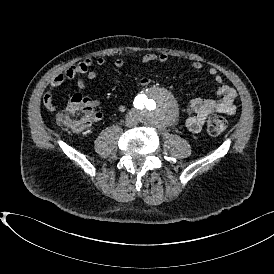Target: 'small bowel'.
Listing matches in <instances>:
<instances>
[{"mask_svg": "<svg viewBox=\"0 0 274 274\" xmlns=\"http://www.w3.org/2000/svg\"><path fill=\"white\" fill-rule=\"evenodd\" d=\"M141 60L144 64H149L152 62L163 64L168 62L169 56L166 53H147ZM93 65L104 67L106 65V59L102 56L97 57L95 60L84 59L53 77L50 81V88L48 91L50 94L46 93L42 97V102L46 108L49 110L55 108L56 103L53 100L52 93L66 81L76 79L77 86L82 90L86 89L87 84L84 81V77L89 80H94L97 77V72L92 68ZM124 65L125 61L122 58H116L113 62V66L117 69L123 68ZM192 68L195 70H201L203 68V64L199 61H194L192 63ZM208 73L212 77L214 83L219 86L216 92L218 99H195L187 103L184 108L185 125L186 128L192 133L200 132L211 114L223 113L231 115L236 111V90L233 87L224 84V79L216 68L210 67L208 69ZM151 81V78L143 77L138 80L137 86H147L151 83ZM72 101L74 103L83 104L88 111L85 122L82 126L74 129L75 132H82L90 126L102 121L103 114L101 111L97 110L101 103L99 99L82 98L77 95L72 99ZM118 109L119 111H124L125 105H120Z\"/></svg>", "mask_w": 274, "mask_h": 274, "instance_id": "small-bowel-1", "label": "small bowel"}]
</instances>
